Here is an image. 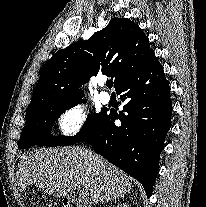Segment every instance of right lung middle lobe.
Segmentation results:
<instances>
[{
  "instance_id": "obj_1",
  "label": "right lung middle lobe",
  "mask_w": 206,
  "mask_h": 207,
  "mask_svg": "<svg viewBox=\"0 0 206 207\" xmlns=\"http://www.w3.org/2000/svg\"><path fill=\"white\" fill-rule=\"evenodd\" d=\"M78 103H86V100L75 99L65 102L49 103L26 112V123L19 140V148L24 149L36 144L44 146L72 145L89 136L106 115V110H102L98 114L88 115L80 132L73 137H54L50 134L55 120L63 112Z\"/></svg>"
}]
</instances>
